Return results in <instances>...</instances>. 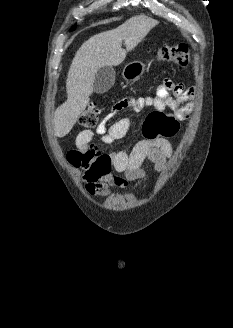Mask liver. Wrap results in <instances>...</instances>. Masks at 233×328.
<instances>
[{
	"mask_svg": "<svg viewBox=\"0 0 233 328\" xmlns=\"http://www.w3.org/2000/svg\"><path fill=\"white\" fill-rule=\"evenodd\" d=\"M157 22L144 16L133 17L116 29L94 35L76 52L67 80V100L59 106L53 118L55 135L66 136L79 115L86 109L94 87V77L104 66H118ZM126 49L122 48V42Z\"/></svg>",
	"mask_w": 233,
	"mask_h": 328,
	"instance_id": "liver-1",
	"label": "liver"
}]
</instances>
